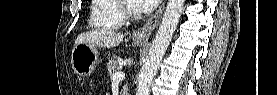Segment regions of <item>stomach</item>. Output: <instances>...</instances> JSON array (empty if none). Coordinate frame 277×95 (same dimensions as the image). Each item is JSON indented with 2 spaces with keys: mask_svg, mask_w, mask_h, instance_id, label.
<instances>
[{
  "mask_svg": "<svg viewBox=\"0 0 277 95\" xmlns=\"http://www.w3.org/2000/svg\"><path fill=\"white\" fill-rule=\"evenodd\" d=\"M135 44H142L143 39L134 38ZM99 52L96 46L80 43L74 46L71 53V65L75 74L81 77L90 75L98 64Z\"/></svg>",
  "mask_w": 277,
  "mask_h": 95,
  "instance_id": "1",
  "label": "stomach"
}]
</instances>
